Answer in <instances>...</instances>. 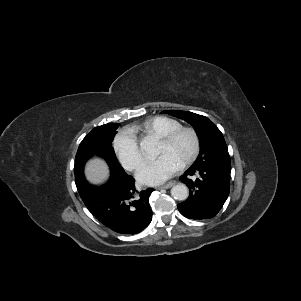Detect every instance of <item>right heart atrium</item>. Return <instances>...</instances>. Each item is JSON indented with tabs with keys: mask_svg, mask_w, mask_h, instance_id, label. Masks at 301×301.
Listing matches in <instances>:
<instances>
[{
	"mask_svg": "<svg viewBox=\"0 0 301 301\" xmlns=\"http://www.w3.org/2000/svg\"><path fill=\"white\" fill-rule=\"evenodd\" d=\"M114 151L121 164L128 170H137L142 164V155L135 134L130 129L119 131L113 140Z\"/></svg>",
	"mask_w": 301,
	"mask_h": 301,
	"instance_id": "obj_1",
	"label": "right heart atrium"
}]
</instances>
